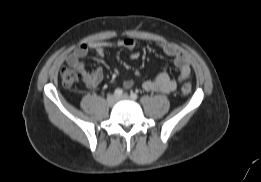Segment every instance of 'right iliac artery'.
Instances as JSON below:
<instances>
[{"label":"right iliac artery","instance_id":"1","mask_svg":"<svg viewBox=\"0 0 261 182\" xmlns=\"http://www.w3.org/2000/svg\"><path fill=\"white\" fill-rule=\"evenodd\" d=\"M114 95L117 96V97L122 96L123 95V90L120 89V88L115 89Z\"/></svg>","mask_w":261,"mask_h":182}]
</instances>
